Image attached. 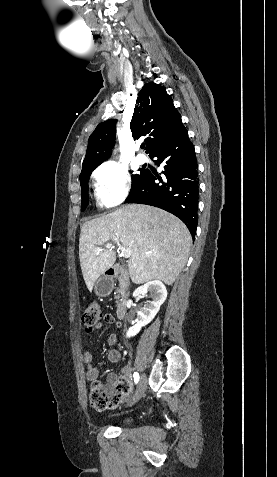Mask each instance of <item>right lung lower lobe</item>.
<instances>
[{
	"label": "right lung lower lobe",
	"instance_id": "1",
	"mask_svg": "<svg viewBox=\"0 0 277 477\" xmlns=\"http://www.w3.org/2000/svg\"><path fill=\"white\" fill-rule=\"evenodd\" d=\"M164 166L161 177L146 169L142 181L129 193L126 203H141L162 208L188 227L193 239L197 229L198 174L194 146L186 128L149 154ZM159 180L156 183L155 180Z\"/></svg>",
	"mask_w": 277,
	"mask_h": 477
}]
</instances>
